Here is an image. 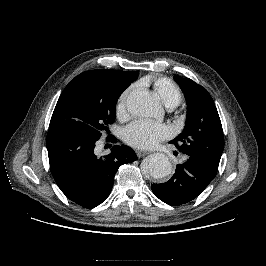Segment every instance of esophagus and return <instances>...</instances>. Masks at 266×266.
<instances>
[{
	"label": "esophagus",
	"mask_w": 266,
	"mask_h": 266,
	"mask_svg": "<svg viewBox=\"0 0 266 266\" xmlns=\"http://www.w3.org/2000/svg\"><path fill=\"white\" fill-rule=\"evenodd\" d=\"M135 152L139 158L144 157L148 154L147 151H143V150H139V149H137Z\"/></svg>",
	"instance_id": "obj_1"
}]
</instances>
